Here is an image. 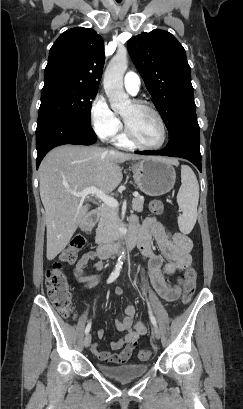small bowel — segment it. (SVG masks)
Returning <instances> with one entry per match:
<instances>
[{"mask_svg":"<svg viewBox=\"0 0 243 409\" xmlns=\"http://www.w3.org/2000/svg\"><path fill=\"white\" fill-rule=\"evenodd\" d=\"M130 229L140 235L138 242L141 253L148 260L149 274L152 285L158 295L167 302H172L180 296L183 279L178 278L177 283L170 286L166 283L164 275L175 274L189 266L191 262V251L193 243L191 239L181 232H168L161 221L156 217H149L139 225L137 218L132 217L130 220ZM152 238L157 242L161 253L167 258L164 262L162 255L156 253L152 246ZM98 254L94 251H88L82 255L76 263L73 270V276L77 283L86 282L99 283L102 279L100 275L86 276L90 269L101 270L103 263L97 260ZM116 296H121L123 290L120 287L114 289ZM135 309L133 306H126L121 319L116 321V327L124 335L110 343L112 349H122L119 353H111L100 349L97 343L92 345V353L103 362L122 363L127 361L135 349L138 339L146 332V325L142 320H138L133 326ZM104 336L103 331L98 332V337Z\"/></svg>","mask_w":243,"mask_h":409,"instance_id":"c3829d8e","label":"small bowel"}]
</instances>
